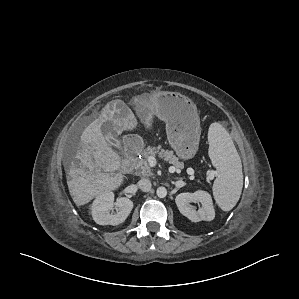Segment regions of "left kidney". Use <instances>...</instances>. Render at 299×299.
Masks as SVG:
<instances>
[{
  "label": "left kidney",
  "instance_id": "obj_1",
  "mask_svg": "<svg viewBox=\"0 0 299 299\" xmlns=\"http://www.w3.org/2000/svg\"><path fill=\"white\" fill-rule=\"evenodd\" d=\"M176 205L181 214L192 222L211 221L215 218V210L211 195L203 190L194 193H181L176 196ZM201 203V208L197 211L193 209L191 203Z\"/></svg>",
  "mask_w": 299,
  "mask_h": 299
}]
</instances>
